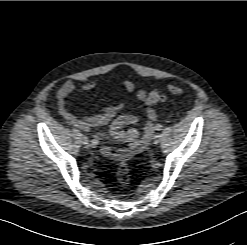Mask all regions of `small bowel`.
<instances>
[{
    "label": "small bowel",
    "instance_id": "obj_1",
    "mask_svg": "<svg viewBox=\"0 0 247 245\" xmlns=\"http://www.w3.org/2000/svg\"><path fill=\"white\" fill-rule=\"evenodd\" d=\"M100 86L98 80H90L77 87L76 83L68 80L62 84L57 92L58 112L61 117L71 126L89 132L91 127L102 126L110 121H113L108 134L115 139L122 140L128 143V146L118 152H111L108 148H103V153L115 159H130L136 154L142 152L150 143L154 134V122L157 118V113L147 98V93L144 90H138L135 94L136 99L145 104V115L147 121L144 125L142 135L136 129L122 130L125 125L136 124L139 122V117L132 113H121L124 103L116 106H105L101 108V112L88 117H80L69 111L68 100L75 93H84L94 90ZM124 89L127 93L135 91V84L132 80L123 82ZM99 136H105V132H100Z\"/></svg>",
    "mask_w": 247,
    "mask_h": 245
}]
</instances>
